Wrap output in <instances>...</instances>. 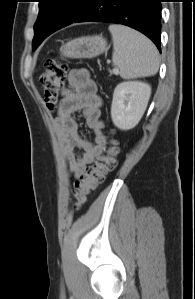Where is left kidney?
<instances>
[{
  "mask_svg": "<svg viewBox=\"0 0 195 299\" xmlns=\"http://www.w3.org/2000/svg\"><path fill=\"white\" fill-rule=\"evenodd\" d=\"M151 87L142 81L119 83L113 93L111 118L120 130H130L141 120L149 98Z\"/></svg>",
  "mask_w": 195,
  "mask_h": 299,
  "instance_id": "1",
  "label": "left kidney"
}]
</instances>
